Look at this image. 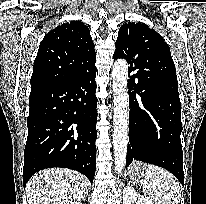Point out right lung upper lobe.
<instances>
[{
  "label": "right lung upper lobe",
  "mask_w": 206,
  "mask_h": 204,
  "mask_svg": "<svg viewBox=\"0 0 206 204\" xmlns=\"http://www.w3.org/2000/svg\"><path fill=\"white\" fill-rule=\"evenodd\" d=\"M95 61L89 28L80 21L62 24L40 43L31 89L78 77L95 66Z\"/></svg>",
  "instance_id": "1"
}]
</instances>
